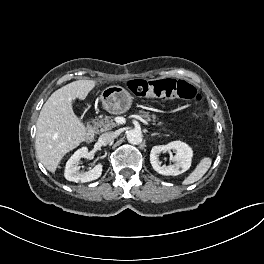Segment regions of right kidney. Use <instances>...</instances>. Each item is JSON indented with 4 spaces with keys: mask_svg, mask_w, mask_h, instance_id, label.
<instances>
[{
    "mask_svg": "<svg viewBox=\"0 0 264 264\" xmlns=\"http://www.w3.org/2000/svg\"><path fill=\"white\" fill-rule=\"evenodd\" d=\"M88 156V148L82 147L78 149L67 161L65 166L64 177L68 181L73 182H90L98 179L102 174V164L98 163L93 169L86 172L79 171V161L81 158H86Z\"/></svg>",
    "mask_w": 264,
    "mask_h": 264,
    "instance_id": "1",
    "label": "right kidney"
}]
</instances>
